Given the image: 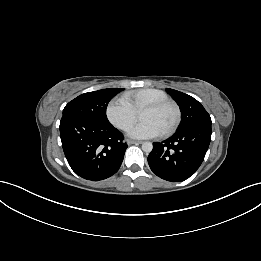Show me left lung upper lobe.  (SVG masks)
<instances>
[{
  "label": "left lung upper lobe",
  "mask_w": 261,
  "mask_h": 261,
  "mask_svg": "<svg viewBox=\"0 0 261 261\" xmlns=\"http://www.w3.org/2000/svg\"><path fill=\"white\" fill-rule=\"evenodd\" d=\"M166 90L175 99L182 113V121L177 131L200 125L211 126L210 115L200 102L180 91L173 89Z\"/></svg>",
  "instance_id": "left-lung-upper-lobe-1"
}]
</instances>
